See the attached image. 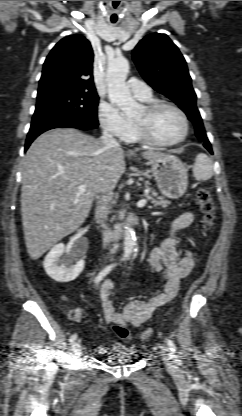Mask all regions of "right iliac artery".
<instances>
[{"label": "right iliac artery", "instance_id": "obj_1", "mask_svg": "<svg viewBox=\"0 0 242 416\" xmlns=\"http://www.w3.org/2000/svg\"><path fill=\"white\" fill-rule=\"evenodd\" d=\"M115 266V264L105 267L95 278V284H98ZM77 339V334H72L69 338V342L72 344Z\"/></svg>", "mask_w": 242, "mask_h": 416}]
</instances>
